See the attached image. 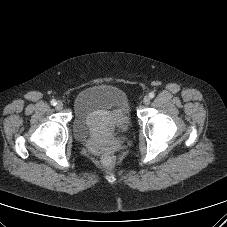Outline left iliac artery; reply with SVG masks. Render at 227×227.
<instances>
[{
	"label": "left iliac artery",
	"mask_w": 227,
	"mask_h": 227,
	"mask_svg": "<svg viewBox=\"0 0 227 227\" xmlns=\"http://www.w3.org/2000/svg\"><path fill=\"white\" fill-rule=\"evenodd\" d=\"M155 94L153 92L149 93V97L152 99L154 98Z\"/></svg>",
	"instance_id": "1"
}]
</instances>
